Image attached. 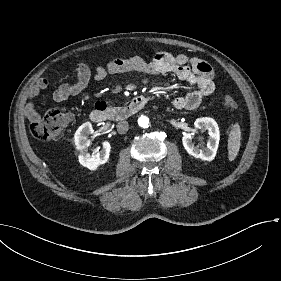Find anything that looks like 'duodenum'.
Wrapping results in <instances>:
<instances>
[{
  "mask_svg": "<svg viewBox=\"0 0 281 281\" xmlns=\"http://www.w3.org/2000/svg\"><path fill=\"white\" fill-rule=\"evenodd\" d=\"M148 101V97L140 95L135 97L125 107H109L103 103H97L90 112V120L94 123H102L108 120L121 122L127 120Z\"/></svg>",
  "mask_w": 281,
  "mask_h": 281,
  "instance_id": "duodenum-1",
  "label": "duodenum"
}]
</instances>
